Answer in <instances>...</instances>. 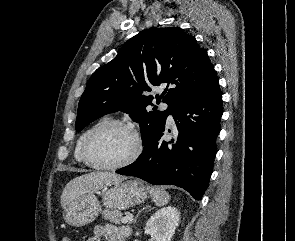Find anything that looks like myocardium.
Returning a JSON list of instances; mask_svg holds the SVG:
<instances>
[{
    "label": "myocardium",
    "instance_id": "obj_1",
    "mask_svg": "<svg viewBox=\"0 0 295 241\" xmlns=\"http://www.w3.org/2000/svg\"><path fill=\"white\" fill-rule=\"evenodd\" d=\"M114 127H121V128H125L127 130H129L135 139V149L134 152L132 153V155L120 162V163H116V164H101L96 162L91 155V148L92 145L94 143V141L96 140V138L103 133L104 131L114 128ZM144 149V143H143V139L139 133V131L137 130V128L127 122V121H123V120H109L106 121L102 124H100L99 126H97L87 137V139L85 140V143L83 145V150H82V156H83V160L85 162V164H87L89 167L97 169V170H118V169H122L124 167H127L131 164H133L134 162H136L138 160V158L141 156L142 152Z\"/></svg>",
    "mask_w": 295,
    "mask_h": 241
}]
</instances>
